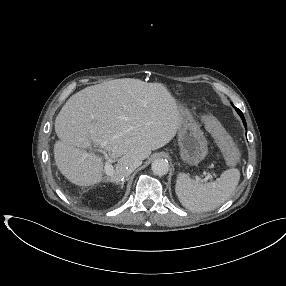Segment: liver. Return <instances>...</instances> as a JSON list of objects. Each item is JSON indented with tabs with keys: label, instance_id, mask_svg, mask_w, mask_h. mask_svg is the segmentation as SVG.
Listing matches in <instances>:
<instances>
[{
	"label": "liver",
	"instance_id": "obj_1",
	"mask_svg": "<svg viewBox=\"0 0 286 286\" xmlns=\"http://www.w3.org/2000/svg\"><path fill=\"white\" fill-rule=\"evenodd\" d=\"M180 123L176 100L162 83L123 78L88 86L72 95L55 119L60 139L54 144L55 163L75 185L98 184L103 162L85 150L94 144L106 156L121 157L108 179L119 183L129 160H144L169 143Z\"/></svg>",
	"mask_w": 286,
	"mask_h": 286
}]
</instances>
